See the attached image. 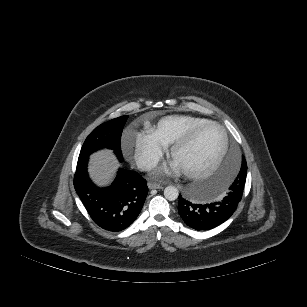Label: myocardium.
Here are the masks:
<instances>
[{"mask_svg": "<svg viewBox=\"0 0 307 307\" xmlns=\"http://www.w3.org/2000/svg\"><path fill=\"white\" fill-rule=\"evenodd\" d=\"M208 126H215L217 127L222 134L223 142L221 149L213 162L206 168L196 171H183L184 175L188 178L192 179H199L204 178L212 174L220 165L221 161L223 160L229 146V136L226 131V129L218 122L216 121H207L202 124L196 125L193 128H191L186 134H184L181 138H179L177 141H175L170 149V156L173 159L175 154L181 150L182 148L189 145L192 140L195 138V136L204 128Z\"/></svg>", "mask_w": 307, "mask_h": 307, "instance_id": "myocardium-1", "label": "myocardium"}]
</instances>
